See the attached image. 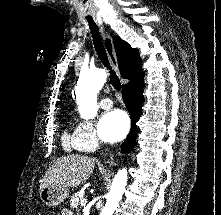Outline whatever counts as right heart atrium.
Masks as SVG:
<instances>
[{"label": "right heart atrium", "mask_w": 221, "mask_h": 215, "mask_svg": "<svg viewBox=\"0 0 221 215\" xmlns=\"http://www.w3.org/2000/svg\"><path fill=\"white\" fill-rule=\"evenodd\" d=\"M74 134L81 151H92L100 144L99 135L92 122L88 120H81L75 128Z\"/></svg>", "instance_id": "right-heart-atrium-1"}]
</instances>
